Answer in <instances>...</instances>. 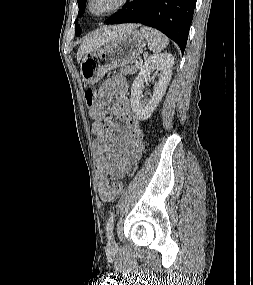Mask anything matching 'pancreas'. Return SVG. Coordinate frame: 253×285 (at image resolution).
Listing matches in <instances>:
<instances>
[{"mask_svg": "<svg viewBox=\"0 0 253 285\" xmlns=\"http://www.w3.org/2000/svg\"><path fill=\"white\" fill-rule=\"evenodd\" d=\"M137 66H126L125 68L121 69V73L124 75H133L137 72Z\"/></svg>", "mask_w": 253, "mask_h": 285, "instance_id": "obj_1", "label": "pancreas"}]
</instances>
